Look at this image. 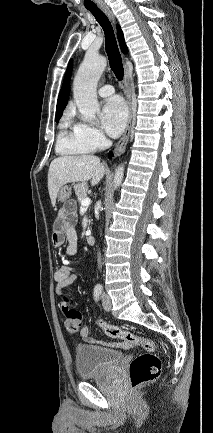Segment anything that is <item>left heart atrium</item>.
<instances>
[{
  "instance_id": "obj_1",
  "label": "left heart atrium",
  "mask_w": 213,
  "mask_h": 433,
  "mask_svg": "<svg viewBox=\"0 0 213 433\" xmlns=\"http://www.w3.org/2000/svg\"><path fill=\"white\" fill-rule=\"evenodd\" d=\"M127 108L119 97L108 99L101 112L102 125L112 137H118L124 130L127 122Z\"/></svg>"
}]
</instances>
